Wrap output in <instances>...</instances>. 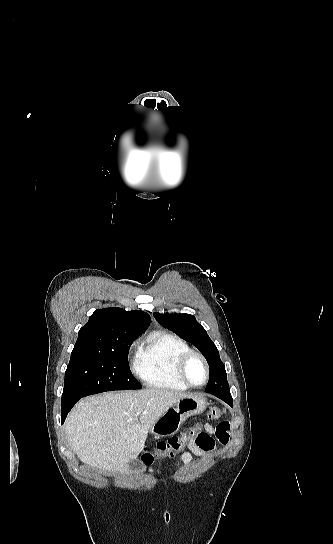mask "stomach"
I'll use <instances>...</instances> for the list:
<instances>
[{"instance_id": "1", "label": "stomach", "mask_w": 333, "mask_h": 544, "mask_svg": "<svg viewBox=\"0 0 333 544\" xmlns=\"http://www.w3.org/2000/svg\"><path fill=\"white\" fill-rule=\"evenodd\" d=\"M207 407V400L198 396H186L166 411L150 428L155 438L174 435L190 416L200 414Z\"/></svg>"}]
</instances>
